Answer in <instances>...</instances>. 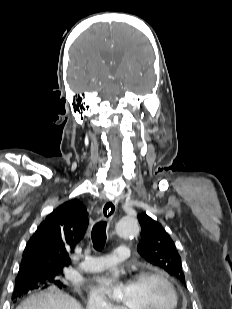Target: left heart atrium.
Listing matches in <instances>:
<instances>
[{
	"label": "left heart atrium",
	"mask_w": 232,
	"mask_h": 309,
	"mask_svg": "<svg viewBox=\"0 0 232 309\" xmlns=\"http://www.w3.org/2000/svg\"><path fill=\"white\" fill-rule=\"evenodd\" d=\"M97 289L102 293L108 294L112 291L119 281L118 275H102L95 279Z\"/></svg>",
	"instance_id": "1"
}]
</instances>
